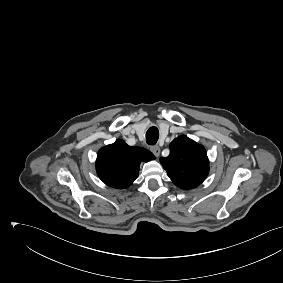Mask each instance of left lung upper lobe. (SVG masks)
<instances>
[{"instance_id":"5c2ea615","label":"left lung upper lobe","mask_w":283,"mask_h":283,"mask_svg":"<svg viewBox=\"0 0 283 283\" xmlns=\"http://www.w3.org/2000/svg\"><path fill=\"white\" fill-rule=\"evenodd\" d=\"M168 157L160 158L172 182L189 190L199 186L209 173V161L205 149L185 135L170 143Z\"/></svg>"}]
</instances>
